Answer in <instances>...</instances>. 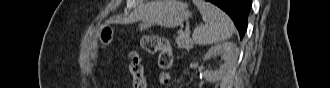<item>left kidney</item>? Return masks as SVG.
Wrapping results in <instances>:
<instances>
[{"label":"left kidney","instance_id":"left-kidney-1","mask_svg":"<svg viewBox=\"0 0 330 88\" xmlns=\"http://www.w3.org/2000/svg\"><path fill=\"white\" fill-rule=\"evenodd\" d=\"M223 55L224 64L217 70H206L203 77L207 82H218L224 79L235 67L238 58V50L233 42H223L211 47L205 54L207 60L214 55Z\"/></svg>","mask_w":330,"mask_h":88}]
</instances>
